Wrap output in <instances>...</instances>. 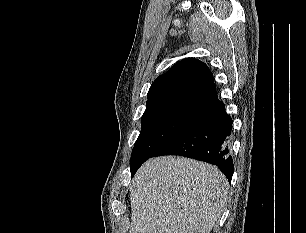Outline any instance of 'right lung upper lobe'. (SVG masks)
Masks as SVG:
<instances>
[{"mask_svg":"<svg viewBox=\"0 0 306 233\" xmlns=\"http://www.w3.org/2000/svg\"><path fill=\"white\" fill-rule=\"evenodd\" d=\"M147 105L161 101H185L203 108L218 101L213 75L195 58L174 64L155 79L147 94Z\"/></svg>","mask_w":306,"mask_h":233,"instance_id":"cb5924a9","label":"right lung upper lobe"}]
</instances>
